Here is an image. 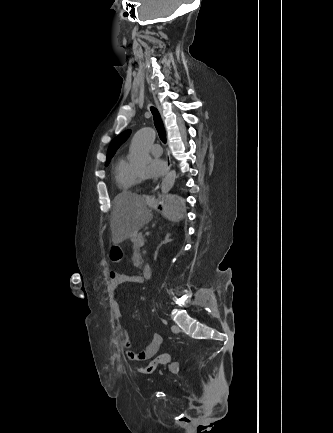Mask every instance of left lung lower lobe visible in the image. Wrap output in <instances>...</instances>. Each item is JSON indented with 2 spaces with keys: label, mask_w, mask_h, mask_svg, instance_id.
I'll return each mask as SVG.
<instances>
[{
  "label": "left lung lower lobe",
  "mask_w": 333,
  "mask_h": 433,
  "mask_svg": "<svg viewBox=\"0 0 333 433\" xmlns=\"http://www.w3.org/2000/svg\"><path fill=\"white\" fill-rule=\"evenodd\" d=\"M180 206L176 203L175 197H170L165 204L164 211L168 212L169 214H174L176 212H179Z\"/></svg>",
  "instance_id": "0a47b994"
}]
</instances>
